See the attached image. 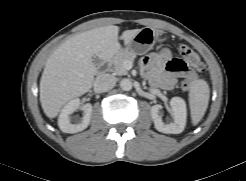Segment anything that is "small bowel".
<instances>
[{
  "instance_id": "small-bowel-1",
  "label": "small bowel",
  "mask_w": 246,
  "mask_h": 181,
  "mask_svg": "<svg viewBox=\"0 0 246 181\" xmlns=\"http://www.w3.org/2000/svg\"><path fill=\"white\" fill-rule=\"evenodd\" d=\"M141 65L143 74L151 83L164 89H171L179 77L188 74L185 62L172 57L168 49L148 54Z\"/></svg>"
}]
</instances>
